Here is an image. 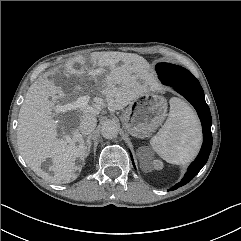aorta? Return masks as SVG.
Listing matches in <instances>:
<instances>
[{"instance_id": "aorta-1", "label": "aorta", "mask_w": 241, "mask_h": 241, "mask_svg": "<svg viewBox=\"0 0 241 241\" xmlns=\"http://www.w3.org/2000/svg\"><path fill=\"white\" fill-rule=\"evenodd\" d=\"M119 125L114 120H106L101 125V135L106 139H113L118 135Z\"/></svg>"}]
</instances>
